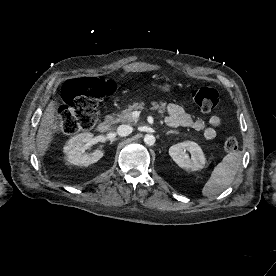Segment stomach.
<instances>
[{
    "instance_id": "0dacf381",
    "label": "stomach",
    "mask_w": 276,
    "mask_h": 276,
    "mask_svg": "<svg viewBox=\"0 0 276 276\" xmlns=\"http://www.w3.org/2000/svg\"><path fill=\"white\" fill-rule=\"evenodd\" d=\"M171 89H172V85L168 83H164L158 87V91H161V92H169L171 91Z\"/></svg>"
}]
</instances>
